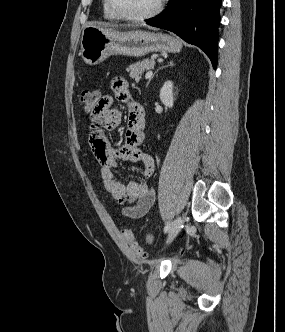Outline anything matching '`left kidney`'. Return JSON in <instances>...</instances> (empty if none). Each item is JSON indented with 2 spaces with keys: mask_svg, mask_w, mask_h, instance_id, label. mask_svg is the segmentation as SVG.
<instances>
[{
  "mask_svg": "<svg viewBox=\"0 0 285 332\" xmlns=\"http://www.w3.org/2000/svg\"><path fill=\"white\" fill-rule=\"evenodd\" d=\"M160 100L167 107H173L174 97H173V82L166 81L160 90Z\"/></svg>",
  "mask_w": 285,
  "mask_h": 332,
  "instance_id": "obj_1",
  "label": "left kidney"
}]
</instances>
